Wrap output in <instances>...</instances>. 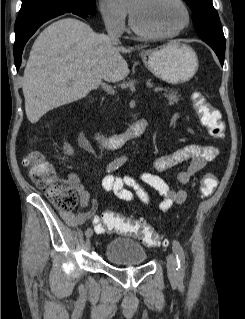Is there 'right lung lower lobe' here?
<instances>
[{
	"instance_id": "obj_1",
	"label": "right lung lower lobe",
	"mask_w": 245,
	"mask_h": 319,
	"mask_svg": "<svg viewBox=\"0 0 245 319\" xmlns=\"http://www.w3.org/2000/svg\"><path fill=\"white\" fill-rule=\"evenodd\" d=\"M66 12H72L80 17H87L89 15L73 9L66 8H51L35 12L33 14L17 17L15 23V43H14V60L17 70L21 65V56L26 42L35 33L39 26L44 22L62 15Z\"/></svg>"
}]
</instances>
